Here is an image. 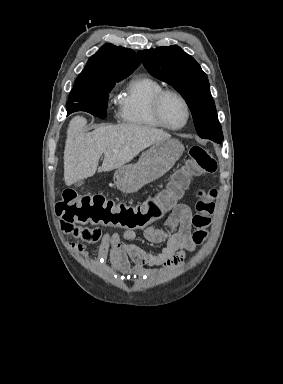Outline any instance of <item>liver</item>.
<instances>
[{
    "label": "liver",
    "mask_w": 283,
    "mask_h": 384,
    "mask_svg": "<svg viewBox=\"0 0 283 384\" xmlns=\"http://www.w3.org/2000/svg\"><path fill=\"white\" fill-rule=\"evenodd\" d=\"M86 124L85 118L75 116L67 130L64 150V180L67 186L94 176L102 154L105 158L98 172H111L131 162L142 150L156 142L171 138L164 130L140 124L102 126L85 134L82 130Z\"/></svg>",
    "instance_id": "obj_1"
}]
</instances>
